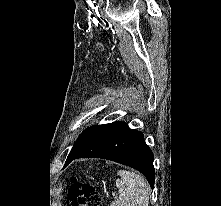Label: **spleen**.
Segmentation results:
<instances>
[{"label":"spleen","mask_w":221,"mask_h":206,"mask_svg":"<svg viewBox=\"0 0 221 206\" xmlns=\"http://www.w3.org/2000/svg\"><path fill=\"white\" fill-rule=\"evenodd\" d=\"M116 187L119 197L110 206H148V186L145 180L137 173L119 170Z\"/></svg>","instance_id":"spleen-1"}]
</instances>
